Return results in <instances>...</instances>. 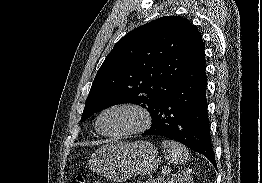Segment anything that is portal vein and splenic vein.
I'll list each match as a JSON object with an SVG mask.
<instances>
[{
  "mask_svg": "<svg viewBox=\"0 0 262 183\" xmlns=\"http://www.w3.org/2000/svg\"><path fill=\"white\" fill-rule=\"evenodd\" d=\"M157 180H158V181H161V180H162V177H161V178H158Z\"/></svg>",
  "mask_w": 262,
  "mask_h": 183,
  "instance_id": "18ae733b",
  "label": "portal vein and splenic vein"
}]
</instances>
